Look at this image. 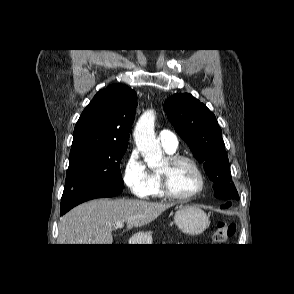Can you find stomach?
Returning <instances> with one entry per match:
<instances>
[{
	"instance_id": "1",
	"label": "stomach",
	"mask_w": 294,
	"mask_h": 294,
	"mask_svg": "<svg viewBox=\"0 0 294 294\" xmlns=\"http://www.w3.org/2000/svg\"><path fill=\"white\" fill-rule=\"evenodd\" d=\"M177 227L189 235H199L209 226V218L206 213L197 206L180 207L174 216ZM145 237L144 233H139L138 238Z\"/></svg>"
}]
</instances>
